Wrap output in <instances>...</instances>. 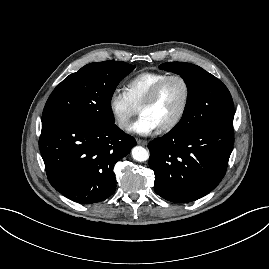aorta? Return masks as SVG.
<instances>
[{
    "mask_svg": "<svg viewBox=\"0 0 269 269\" xmlns=\"http://www.w3.org/2000/svg\"><path fill=\"white\" fill-rule=\"evenodd\" d=\"M132 157L138 162H144L149 159V152L142 146H135L132 151Z\"/></svg>",
    "mask_w": 269,
    "mask_h": 269,
    "instance_id": "aorta-1",
    "label": "aorta"
}]
</instances>
